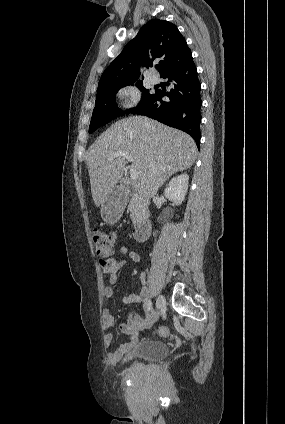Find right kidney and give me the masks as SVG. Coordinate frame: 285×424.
I'll use <instances>...</instances> for the list:
<instances>
[{
  "instance_id": "ca27d5eb",
  "label": "right kidney",
  "mask_w": 285,
  "mask_h": 424,
  "mask_svg": "<svg viewBox=\"0 0 285 424\" xmlns=\"http://www.w3.org/2000/svg\"><path fill=\"white\" fill-rule=\"evenodd\" d=\"M188 180L189 176L187 174H181L171 179L165 188V197L172 201L175 205H181L187 194Z\"/></svg>"
}]
</instances>
